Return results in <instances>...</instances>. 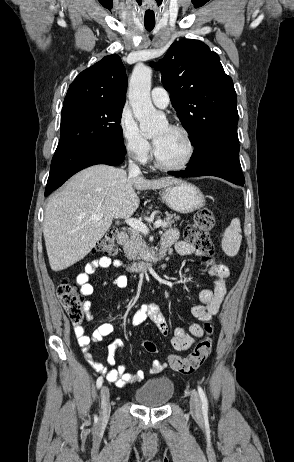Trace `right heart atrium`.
Returning <instances> with one entry per match:
<instances>
[{
    "label": "right heart atrium",
    "mask_w": 294,
    "mask_h": 462,
    "mask_svg": "<svg viewBox=\"0 0 294 462\" xmlns=\"http://www.w3.org/2000/svg\"><path fill=\"white\" fill-rule=\"evenodd\" d=\"M118 127L126 152L136 161L146 163L152 153L151 144L127 107H124L120 113Z\"/></svg>",
    "instance_id": "d8ad5b80"
}]
</instances>
